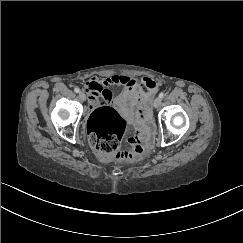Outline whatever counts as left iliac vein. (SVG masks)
Instances as JSON below:
<instances>
[{
	"instance_id": "left-iliac-vein-1",
	"label": "left iliac vein",
	"mask_w": 243,
	"mask_h": 243,
	"mask_svg": "<svg viewBox=\"0 0 243 243\" xmlns=\"http://www.w3.org/2000/svg\"><path fill=\"white\" fill-rule=\"evenodd\" d=\"M160 105H161V98L157 97L154 100L153 106H154V108H158Z\"/></svg>"
}]
</instances>
